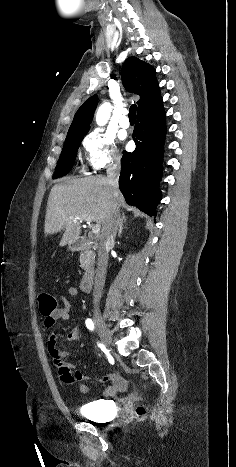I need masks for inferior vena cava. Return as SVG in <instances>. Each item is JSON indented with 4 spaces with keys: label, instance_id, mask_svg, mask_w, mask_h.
<instances>
[{
    "label": "inferior vena cava",
    "instance_id": "1",
    "mask_svg": "<svg viewBox=\"0 0 236 467\" xmlns=\"http://www.w3.org/2000/svg\"><path fill=\"white\" fill-rule=\"evenodd\" d=\"M119 173H120V167L118 166V164H112L107 169V181L112 189V193L114 197H117L119 193V188H118ZM119 221L120 220H119L118 212H116L110 217V219L103 226L102 231H101L99 250H98V264H97L98 268L96 271L94 290H93L95 305H98L101 299L102 290H103L104 283H105L106 271H107L109 249L111 246L114 245Z\"/></svg>",
    "mask_w": 236,
    "mask_h": 467
}]
</instances>
